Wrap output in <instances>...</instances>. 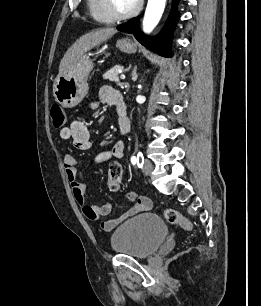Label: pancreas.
I'll use <instances>...</instances> for the list:
<instances>
[{
	"instance_id": "1",
	"label": "pancreas",
	"mask_w": 261,
	"mask_h": 306,
	"mask_svg": "<svg viewBox=\"0 0 261 306\" xmlns=\"http://www.w3.org/2000/svg\"><path fill=\"white\" fill-rule=\"evenodd\" d=\"M122 67L120 65H116L114 66L112 69H110L109 71H107L104 75H103V79L105 80H110V81H114V82H119V70H121Z\"/></svg>"
}]
</instances>
